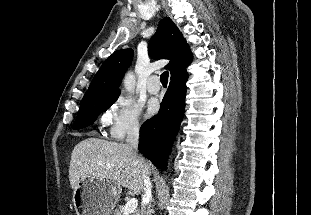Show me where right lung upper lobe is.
Returning <instances> with one entry per match:
<instances>
[{
	"label": "right lung upper lobe",
	"instance_id": "right-lung-upper-lobe-1",
	"mask_svg": "<svg viewBox=\"0 0 311 215\" xmlns=\"http://www.w3.org/2000/svg\"><path fill=\"white\" fill-rule=\"evenodd\" d=\"M149 55L158 59H169L165 67L171 77L183 72L192 61V54L184 37L169 17L163 18L149 42ZM133 59L132 49L115 51L102 64L94 76L81 103L103 97L119 96L121 80Z\"/></svg>",
	"mask_w": 311,
	"mask_h": 215
}]
</instances>
